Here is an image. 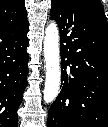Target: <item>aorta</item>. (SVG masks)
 Segmentation results:
<instances>
[{
  "mask_svg": "<svg viewBox=\"0 0 108 127\" xmlns=\"http://www.w3.org/2000/svg\"><path fill=\"white\" fill-rule=\"evenodd\" d=\"M44 58L46 63V81L43 98L46 103H51L58 95L61 77L59 32L55 22H51L45 30Z\"/></svg>",
  "mask_w": 108,
  "mask_h": 127,
  "instance_id": "aorta-1",
  "label": "aorta"
}]
</instances>
